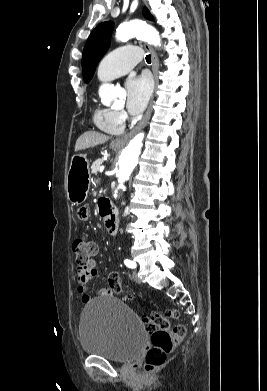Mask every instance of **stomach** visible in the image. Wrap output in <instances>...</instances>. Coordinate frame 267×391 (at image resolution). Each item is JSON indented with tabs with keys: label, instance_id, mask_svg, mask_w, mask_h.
I'll return each instance as SVG.
<instances>
[{
	"label": "stomach",
	"instance_id": "obj_1",
	"mask_svg": "<svg viewBox=\"0 0 267 391\" xmlns=\"http://www.w3.org/2000/svg\"><path fill=\"white\" fill-rule=\"evenodd\" d=\"M114 150L118 148L113 146ZM90 187L89 162L83 155H74L67 174V197L73 205L83 203Z\"/></svg>",
	"mask_w": 267,
	"mask_h": 391
}]
</instances>
